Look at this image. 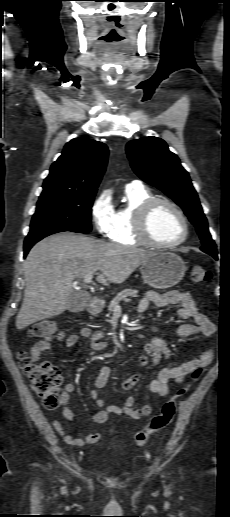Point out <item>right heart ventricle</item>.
<instances>
[{
  "label": "right heart ventricle",
  "mask_w": 230,
  "mask_h": 517,
  "mask_svg": "<svg viewBox=\"0 0 230 517\" xmlns=\"http://www.w3.org/2000/svg\"><path fill=\"white\" fill-rule=\"evenodd\" d=\"M126 207L118 210L115 214V222L110 241L122 246H135L142 244L136 235L135 217L138 208L148 199L153 198L152 192L141 186L126 188Z\"/></svg>",
  "instance_id": "1"
}]
</instances>
